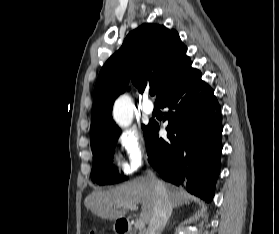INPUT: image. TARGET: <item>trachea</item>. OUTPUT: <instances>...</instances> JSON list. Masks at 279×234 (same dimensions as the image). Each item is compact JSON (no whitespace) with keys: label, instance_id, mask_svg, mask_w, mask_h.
Returning a JSON list of instances; mask_svg holds the SVG:
<instances>
[{"label":"trachea","instance_id":"obj_1","mask_svg":"<svg viewBox=\"0 0 279 234\" xmlns=\"http://www.w3.org/2000/svg\"><path fill=\"white\" fill-rule=\"evenodd\" d=\"M150 95H151V96H154V95H155V89H151V90H150Z\"/></svg>","mask_w":279,"mask_h":234}]
</instances>
